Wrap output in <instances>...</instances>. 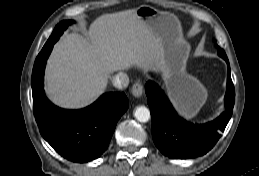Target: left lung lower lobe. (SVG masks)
Listing matches in <instances>:
<instances>
[{
  "label": "left lung lower lobe",
  "mask_w": 259,
  "mask_h": 176,
  "mask_svg": "<svg viewBox=\"0 0 259 176\" xmlns=\"http://www.w3.org/2000/svg\"><path fill=\"white\" fill-rule=\"evenodd\" d=\"M228 65L225 111L212 122L194 125L175 112L168 98L157 84L148 81L145 86L152 118V136L157 148L167 157L188 159L206 154L218 141L228 124L235 101L234 85Z\"/></svg>",
  "instance_id": "obj_1"
}]
</instances>
